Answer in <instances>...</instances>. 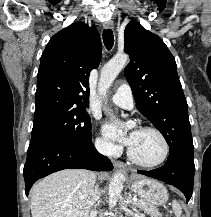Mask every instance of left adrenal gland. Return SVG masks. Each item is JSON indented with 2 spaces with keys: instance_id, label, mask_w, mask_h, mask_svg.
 I'll list each match as a JSON object with an SVG mask.
<instances>
[{
  "instance_id": "1",
  "label": "left adrenal gland",
  "mask_w": 211,
  "mask_h": 217,
  "mask_svg": "<svg viewBox=\"0 0 211 217\" xmlns=\"http://www.w3.org/2000/svg\"><path fill=\"white\" fill-rule=\"evenodd\" d=\"M125 203L130 205L132 208H135V203L132 201L131 193H128V197H126Z\"/></svg>"
}]
</instances>
